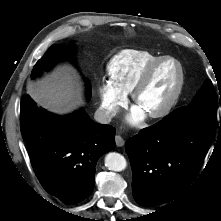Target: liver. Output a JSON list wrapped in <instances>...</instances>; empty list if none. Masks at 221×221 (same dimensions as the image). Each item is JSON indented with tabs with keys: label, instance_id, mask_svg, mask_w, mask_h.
Returning a JSON list of instances; mask_svg holds the SVG:
<instances>
[{
	"label": "liver",
	"instance_id": "6515ba94",
	"mask_svg": "<svg viewBox=\"0 0 221 221\" xmlns=\"http://www.w3.org/2000/svg\"><path fill=\"white\" fill-rule=\"evenodd\" d=\"M28 94L43 108L57 114L72 111L82 100L76 76L63 69L36 84H28Z\"/></svg>",
	"mask_w": 221,
	"mask_h": 221
}]
</instances>
